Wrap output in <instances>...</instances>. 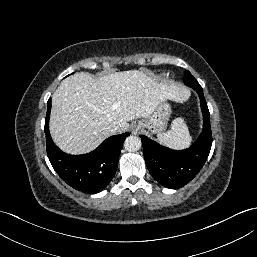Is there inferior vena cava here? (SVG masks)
I'll return each mask as SVG.
<instances>
[{
  "label": "inferior vena cava",
  "instance_id": "inferior-vena-cava-1",
  "mask_svg": "<svg viewBox=\"0 0 257 257\" xmlns=\"http://www.w3.org/2000/svg\"><path fill=\"white\" fill-rule=\"evenodd\" d=\"M106 130L111 133V134H114L115 132L118 131V126L116 125H110V126H107L106 127Z\"/></svg>",
  "mask_w": 257,
  "mask_h": 257
}]
</instances>
